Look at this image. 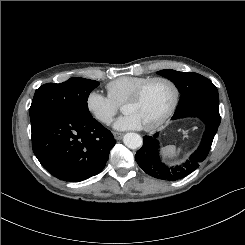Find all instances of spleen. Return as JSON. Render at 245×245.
Instances as JSON below:
<instances>
[{
    "label": "spleen",
    "instance_id": "1",
    "mask_svg": "<svg viewBox=\"0 0 245 245\" xmlns=\"http://www.w3.org/2000/svg\"><path fill=\"white\" fill-rule=\"evenodd\" d=\"M180 148H176L174 145H168L162 149V155L165 159H174L178 157Z\"/></svg>",
    "mask_w": 245,
    "mask_h": 245
}]
</instances>
